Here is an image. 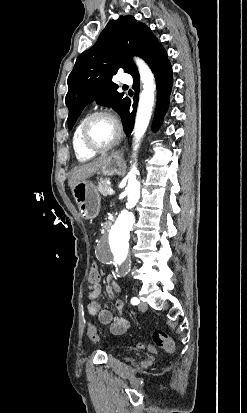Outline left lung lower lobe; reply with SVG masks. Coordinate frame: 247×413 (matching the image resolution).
I'll return each instance as SVG.
<instances>
[{
	"label": "left lung lower lobe",
	"mask_w": 247,
	"mask_h": 413,
	"mask_svg": "<svg viewBox=\"0 0 247 413\" xmlns=\"http://www.w3.org/2000/svg\"><path fill=\"white\" fill-rule=\"evenodd\" d=\"M147 63L149 64L150 68L154 73L157 85V103L153 120V129L157 130L160 127L163 120V116L166 113L169 106V96L171 94V88L173 84L172 68L170 62L168 61L166 51L163 48L156 51ZM132 77L134 80L133 89L136 92L134 96L133 112H129L131 104L129 100L127 104V109L124 114V119L122 120L126 135L128 136L131 134L133 130L135 112L138 102V92L140 90L139 73L135 74Z\"/></svg>",
	"instance_id": "1"
}]
</instances>
